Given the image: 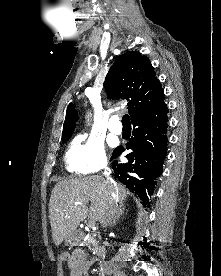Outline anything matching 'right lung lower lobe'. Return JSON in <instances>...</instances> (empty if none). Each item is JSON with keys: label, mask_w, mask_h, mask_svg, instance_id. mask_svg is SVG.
<instances>
[{"label": "right lung lower lobe", "mask_w": 221, "mask_h": 276, "mask_svg": "<svg viewBox=\"0 0 221 276\" xmlns=\"http://www.w3.org/2000/svg\"><path fill=\"white\" fill-rule=\"evenodd\" d=\"M168 108L163 102L159 107L132 120L133 137L126 149L133 151L126 155L128 163L113 161L115 177L138 196L143 205H150L156 178L161 175L167 154ZM124 148L117 147L112 158L118 157Z\"/></svg>", "instance_id": "1"}]
</instances>
